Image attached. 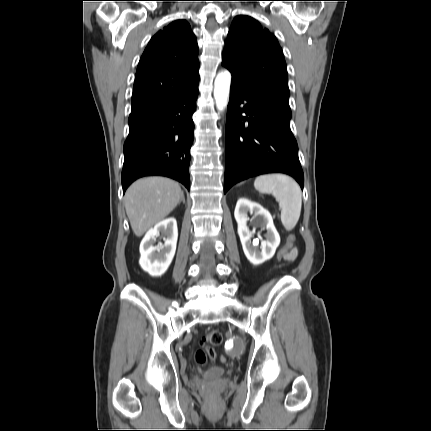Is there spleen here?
<instances>
[{
  "instance_id": "spleen-1",
  "label": "spleen",
  "mask_w": 431,
  "mask_h": 431,
  "mask_svg": "<svg viewBox=\"0 0 431 431\" xmlns=\"http://www.w3.org/2000/svg\"><path fill=\"white\" fill-rule=\"evenodd\" d=\"M254 187L261 193H270L279 202L281 222L287 231L297 224L302 206V192L299 185L290 177L282 174L260 175Z\"/></svg>"
}]
</instances>
